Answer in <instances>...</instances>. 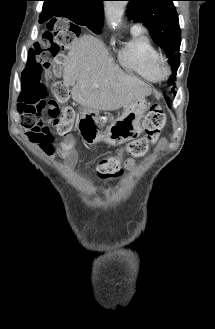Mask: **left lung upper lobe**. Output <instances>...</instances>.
Returning <instances> with one entry per match:
<instances>
[{
    "label": "left lung upper lobe",
    "mask_w": 215,
    "mask_h": 329,
    "mask_svg": "<svg viewBox=\"0 0 215 329\" xmlns=\"http://www.w3.org/2000/svg\"><path fill=\"white\" fill-rule=\"evenodd\" d=\"M128 17L146 25L157 45L169 57L173 75L169 82L173 85L180 64L181 30L178 14L173 5L175 0H127ZM173 91V89H172ZM175 94V92H174Z\"/></svg>",
    "instance_id": "5c2ea615"
}]
</instances>
